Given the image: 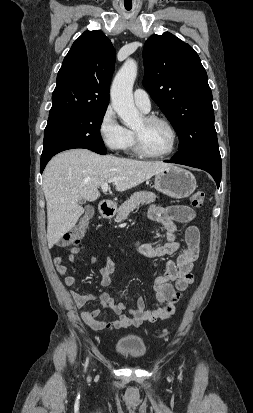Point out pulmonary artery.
Wrapping results in <instances>:
<instances>
[{"label": "pulmonary artery", "instance_id": "e3ab8cb5", "mask_svg": "<svg viewBox=\"0 0 253 413\" xmlns=\"http://www.w3.org/2000/svg\"><path fill=\"white\" fill-rule=\"evenodd\" d=\"M134 102L143 112H149L151 109V101L148 93L143 89H136L133 94Z\"/></svg>", "mask_w": 253, "mask_h": 413}]
</instances>
